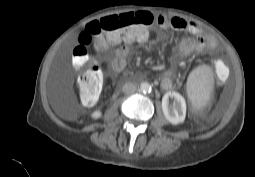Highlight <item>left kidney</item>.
<instances>
[{
	"label": "left kidney",
	"instance_id": "left-kidney-1",
	"mask_svg": "<svg viewBox=\"0 0 255 177\" xmlns=\"http://www.w3.org/2000/svg\"><path fill=\"white\" fill-rule=\"evenodd\" d=\"M169 98L174 99V104L169 105ZM162 111L165 118L173 125L183 123L186 116L185 99L177 92L169 91L162 98Z\"/></svg>",
	"mask_w": 255,
	"mask_h": 177
}]
</instances>
